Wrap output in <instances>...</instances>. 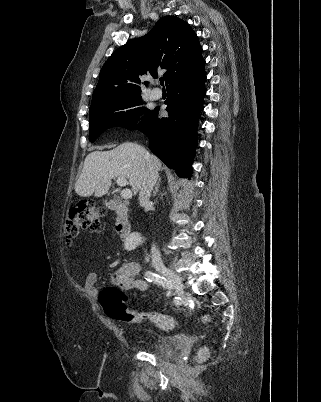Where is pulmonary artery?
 I'll return each mask as SVG.
<instances>
[{
  "mask_svg": "<svg viewBox=\"0 0 321 402\" xmlns=\"http://www.w3.org/2000/svg\"><path fill=\"white\" fill-rule=\"evenodd\" d=\"M150 96L152 99H159L161 97V91L159 89H152L150 92Z\"/></svg>",
  "mask_w": 321,
  "mask_h": 402,
  "instance_id": "pulmonary-artery-1",
  "label": "pulmonary artery"
}]
</instances>
